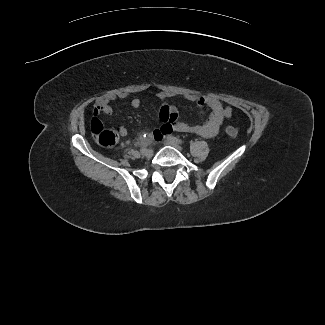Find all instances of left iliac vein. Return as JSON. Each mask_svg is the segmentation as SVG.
Returning <instances> with one entry per match:
<instances>
[{
	"instance_id": "4c4485c4",
	"label": "left iliac vein",
	"mask_w": 325,
	"mask_h": 325,
	"mask_svg": "<svg viewBox=\"0 0 325 325\" xmlns=\"http://www.w3.org/2000/svg\"><path fill=\"white\" fill-rule=\"evenodd\" d=\"M164 144L172 146V147L176 148L177 150H180V151L182 150V147L178 143L170 140L168 137L165 139Z\"/></svg>"
}]
</instances>
